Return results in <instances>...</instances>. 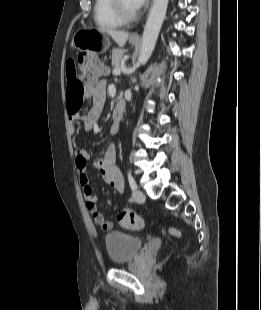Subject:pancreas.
<instances>
[{
	"instance_id": "1",
	"label": "pancreas",
	"mask_w": 261,
	"mask_h": 310,
	"mask_svg": "<svg viewBox=\"0 0 261 310\" xmlns=\"http://www.w3.org/2000/svg\"><path fill=\"white\" fill-rule=\"evenodd\" d=\"M123 54H124V52L122 50H119V49H114L112 51V66L114 68L119 67V64H120V61L123 57Z\"/></svg>"
}]
</instances>
